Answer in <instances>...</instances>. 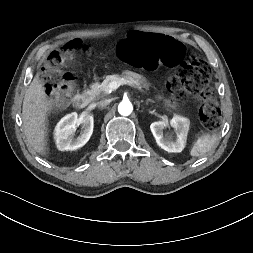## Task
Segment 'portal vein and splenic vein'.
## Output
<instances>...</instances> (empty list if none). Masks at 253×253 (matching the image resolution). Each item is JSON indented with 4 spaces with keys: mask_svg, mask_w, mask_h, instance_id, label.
Here are the masks:
<instances>
[{
    "mask_svg": "<svg viewBox=\"0 0 253 253\" xmlns=\"http://www.w3.org/2000/svg\"><path fill=\"white\" fill-rule=\"evenodd\" d=\"M124 84H128L130 86L136 87V85L132 81L125 80V79H122V80H120L118 82H116V81L115 82H111L109 84V87H110L111 90H116L120 85H124Z\"/></svg>",
    "mask_w": 253,
    "mask_h": 253,
    "instance_id": "1",
    "label": "portal vein and splenic vein"
}]
</instances>
